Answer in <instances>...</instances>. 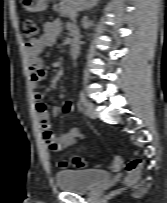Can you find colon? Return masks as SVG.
Instances as JSON below:
<instances>
[{
    "label": "colon",
    "mask_w": 167,
    "mask_h": 203,
    "mask_svg": "<svg viewBox=\"0 0 167 203\" xmlns=\"http://www.w3.org/2000/svg\"><path fill=\"white\" fill-rule=\"evenodd\" d=\"M23 34L26 39V44H32L39 37L38 23L33 19H26L23 22ZM119 162L120 159L118 158L115 166H118ZM72 163L77 167H82L85 165V162L79 158L74 159ZM69 165L70 163L66 160H63L59 163V166L62 169H67ZM141 167L142 161L140 159H133L125 166L127 184H132L137 180L141 172Z\"/></svg>",
    "instance_id": "obj_1"
}]
</instances>
